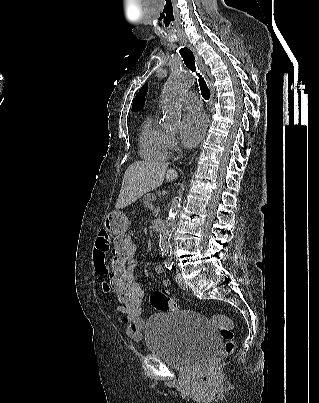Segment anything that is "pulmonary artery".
<instances>
[{"label":"pulmonary artery","mask_w":319,"mask_h":403,"mask_svg":"<svg viewBox=\"0 0 319 403\" xmlns=\"http://www.w3.org/2000/svg\"><path fill=\"white\" fill-rule=\"evenodd\" d=\"M182 103L185 107H187L188 109H190L192 111L198 110L202 104L201 99L195 93H187L183 97Z\"/></svg>","instance_id":"e3ab8cb5"}]
</instances>
